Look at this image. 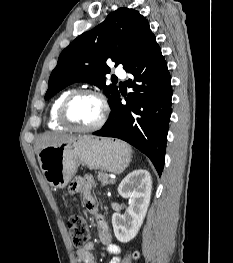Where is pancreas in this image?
Wrapping results in <instances>:
<instances>
[{
    "label": "pancreas",
    "instance_id": "cf45deb5",
    "mask_svg": "<svg viewBox=\"0 0 233 263\" xmlns=\"http://www.w3.org/2000/svg\"><path fill=\"white\" fill-rule=\"evenodd\" d=\"M97 178H98V181H100L103 186L115 182L114 180L109 179V176L107 173H103V172H98Z\"/></svg>",
    "mask_w": 233,
    "mask_h": 263
}]
</instances>
